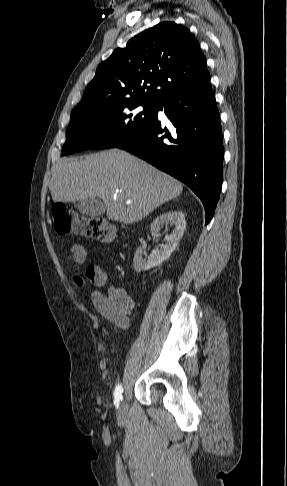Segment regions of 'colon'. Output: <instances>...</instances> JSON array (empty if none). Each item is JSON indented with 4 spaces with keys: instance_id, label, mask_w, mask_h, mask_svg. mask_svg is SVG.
I'll list each match as a JSON object with an SVG mask.
<instances>
[{
    "instance_id": "1",
    "label": "colon",
    "mask_w": 287,
    "mask_h": 486,
    "mask_svg": "<svg viewBox=\"0 0 287 486\" xmlns=\"http://www.w3.org/2000/svg\"><path fill=\"white\" fill-rule=\"evenodd\" d=\"M53 225L60 235L74 234L89 237L100 242H111L115 238L112 225L101 217H85L69 211L65 205L56 204L52 208ZM79 285L89 283L102 285L105 282L104 274L95 266H87L84 277H78Z\"/></svg>"
}]
</instances>
